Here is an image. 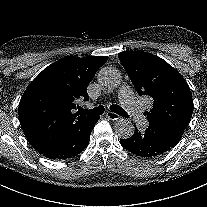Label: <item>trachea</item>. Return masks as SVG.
Listing matches in <instances>:
<instances>
[{"mask_svg":"<svg viewBox=\"0 0 207 207\" xmlns=\"http://www.w3.org/2000/svg\"><path fill=\"white\" fill-rule=\"evenodd\" d=\"M110 110L115 113H118L122 117H128L127 112H125L121 107H119L117 105H114V104L111 105ZM104 111H105V109L103 106H98V107H95L94 109H91V110H86V109H82V108L79 109L80 114L92 115V116L101 115L104 113Z\"/></svg>","mask_w":207,"mask_h":207,"instance_id":"3493384b","label":"trachea"}]
</instances>
